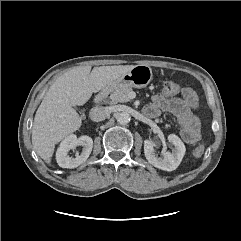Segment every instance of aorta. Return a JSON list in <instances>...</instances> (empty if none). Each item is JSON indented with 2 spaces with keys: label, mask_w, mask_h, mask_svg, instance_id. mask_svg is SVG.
Instances as JSON below:
<instances>
[{
  "label": "aorta",
  "mask_w": 241,
  "mask_h": 241,
  "mask_svg": "<svg viewBox=\"0 0 241 241\" xmlns=\"http://www.w3.org/2000/svg\"><path fill=\"white\" fill-rule=\"evenodd\" d=\"M116 119L119 124L126 125L130 122L131 116L128 112L123 111L121 113H118Z\"/></svg>",
  "instance_id": "762f6f07"
}]
</instances>
